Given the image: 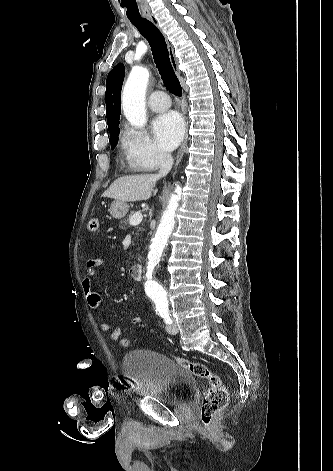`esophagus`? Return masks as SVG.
Listing matches in <instances>:
<instances>
[{"instance_id":"obj_1","label":"esophagus","mask_w":333,"mask_h":471,"mask_svg":"<svg viewBox=\"0 0 333 471\" xmlns=\"http://www.w3.org/2000/svg\"><path fill=\"white\" fill-rule=\"evenodd\" d=\"M147 19L150 22H152L158 29L161 30L160 25H159V21L154 15H148ZM168 52H169L170 62L172 64V67H173L175 73L177 75H180L178 59H177V57L174 53L173 47L170 44H168ZM187 138H188V135L186 134L185 140H184L182 146L180 147V149L177 153L175 165L179 164V162L181 161V159L184 155V151H185V148H186V145H187Z\"/></svg>"}]
</instances>
